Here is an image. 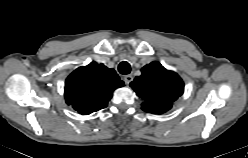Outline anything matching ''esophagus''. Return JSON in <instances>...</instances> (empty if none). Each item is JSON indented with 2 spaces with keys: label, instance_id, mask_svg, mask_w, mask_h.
Returning a JSON list of instances; mask_svg holds the SVG:
<instances>
[{
  "label": "esophagus",
  "instance_id": "1",
  "mask_svg": "<svg viewBox=\"0 0 248 158\" xmlns=\"http://www.w3.org/2000/svg\"><path fill=\"white\" fill-rule=\"evenodd\" d=\"M132 80H133V76L131 74H128V75L124 76V82L126 84H129L130 82H132Z\"/></svg>",
  "mask_w": 248,
  "mask_h": 158
}]
</instances>
